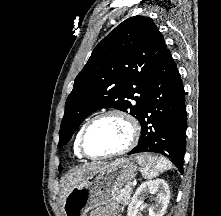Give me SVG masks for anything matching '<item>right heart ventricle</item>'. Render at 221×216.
<instances>
[{
	"mask_svg": "<svg viewBox=\"0 0 221 216\" xmlns=\"http://www.w3.org/2000/svg\"><path fill=\"white\" fill-rule=\"evenodd\" d=\"M80 132L77 134L75 141H74V146H73V150H74V154L77 157H82L79 148H78V138H79Z\"/></svg>",
	"mask_w": 221,
	"mask_h": 216,
	"instance_id": "e07e8e85",
	"label": "right heart ventricle"
}]
</instances>
